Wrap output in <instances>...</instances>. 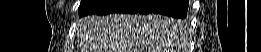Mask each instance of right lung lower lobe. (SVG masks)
Here are the masks:
<instances>
[{
    "instance_id": "98d812e1",
    "label": "right lung lower lobe",
    "mask_w": 261,
    "mask_h": 52,
    "mask_svg": "<svg viewBox=\"0 0 261 52\" xmlns=\"http://www.w3.org/2000/svg\"><path fill=\"white\" fill-rule=\"evenodd\" d=\"M188 7L189 0H106L103 4L85 15H106L110 13H155L172 18L185 19L187 17Z\"/></svg>"
}]
</instances>
